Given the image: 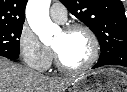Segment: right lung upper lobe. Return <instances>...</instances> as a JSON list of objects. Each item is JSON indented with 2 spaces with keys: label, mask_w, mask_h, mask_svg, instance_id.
<instances>
[{
  "label": "right lung upper lobe",
  "mask_w": 127,
  "mask_h": 92,
  "mask_svg": "<svg viewBox=\"0 0 127 92\" xmlns=\"http://www.w3.org/2000/svg\"><path fill=\"white\" fill-rule=\"evenodd\" d=\"M27 0H0V26L23 25Z\"/></svg>",
  "instance_id": "1"
}]
</instances>
